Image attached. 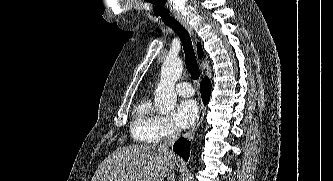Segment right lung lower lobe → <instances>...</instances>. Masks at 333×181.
Here are the masks:
<instances>
[{
  "label": "right lung lower lobe",
  "mask_w": 333,
  "mask_h": 181,
  "mask_svg": "<svg viewBox=\"0 0 333 181\" xmlns=\"http://www.w3.org/2000/svg\"><path fill=\"white\" fill-rule=\"evenodd\" d=\"M202 100L204 104H207L211 93V82L208 78H204L200 86ZM173 150L186 161L189 158L190 142L187 139L180 138L175 142Z\"/></svg>",
  "instance_id": "1"
}]
</instances>
